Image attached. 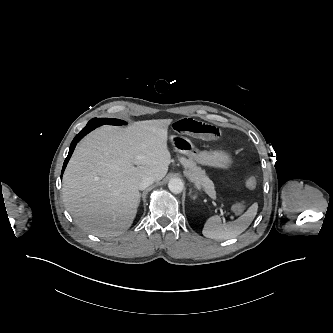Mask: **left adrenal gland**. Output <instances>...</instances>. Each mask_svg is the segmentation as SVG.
<instances>
[{
	"label": "left adrenal gland",
	"instance_id": "obj_1",
	"mask_svg": "<svg viewBox=\"0 0 333 333\" xmlns=\"http://www.w3.org/2000/svg\"><path fill=\"white\" fill-rule=\"evenodd\" d=\"M191 192H192V190H190L189 194H191ZM195 198H196V196L194 195V196H193V199H195Z\"/></svg>",
	"mask_w": 333,
	"mask_h": 333
}]
</instances>
